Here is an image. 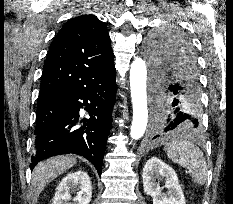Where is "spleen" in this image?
I'll use <instances>...</instances> for the list:
<instances>
[{
    "label": "spleen",
    "mask_w": 233,
    "mask_h": 204,
    "mask_svg": "<svg viewBox=\"0 0 233 204\" xmlns=\"http://www.w3.org/2000/svg\"><path fill=\"white\" fill-rule=\"evenodd\" d=\"M168 158L191 172L196 185L207 181V164L203 152L194 143L186 139H175L164 147Z\"/></svg>",
    "instance_id": "3e777b00"
}]
</instances>
